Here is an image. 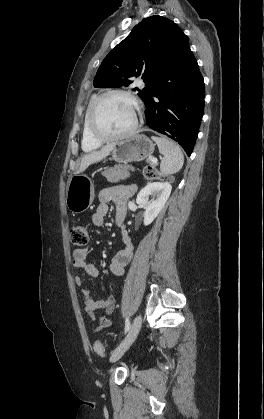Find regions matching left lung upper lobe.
Listing matches in <instances>:
<instances>
[{
  "label": "left lung upper lobe",
  "mask_w": 264,
  "mask_h": 419,
  "mask_svg": "<svg viewBox=\"0 0 264 419\" xmlns=\"http://www.w3.org/2000/svg\"><path fill=\"white\" fill-rule=\"evenodd\" d=\"M182 34V30L165 17L156 15L143 19L105 57L94 78V86H128L134 77L140 76L145 87L136 89L145 102L155 82L169 74L171 43Z\"/></svg>",
  "instance_id": "left-lung-upper-lobe-1"
}]
</instances>
